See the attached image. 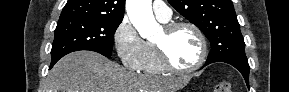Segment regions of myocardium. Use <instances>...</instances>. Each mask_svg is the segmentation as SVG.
Wrapping results in <instances>:
<instances>
[{"label":"myocardium","mask_w":289,"mask_h":92,"mask_svg":"<svg viewBox=\"0 0 289 92\" xmlns=\"http://www.w3.org/2000/svg\"><path fill=\"white\" fill-rule=\"evenodd\" d=\"M180 28H190L196 34L200 42V56H199L198 61L193 66L188 67V68H179L175 66L169 59V56L163 45L156 43V42H154L153 45L155 47L159 62L165 71L175 73V74H189L200 69L205 63L207 55H208V42L203 31L196 24L192 22L173 21V22L166 23L163 27L166 34L168 35L172 34L174 31Z\"/></svg>","instance_id":"f54148a6"}]
</instances>
